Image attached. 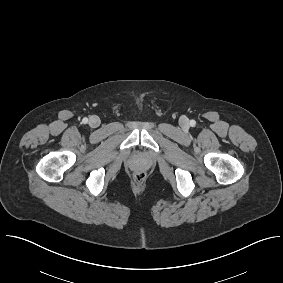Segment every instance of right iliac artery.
<instances>
[{"label":"right iliac artery","instance_id":"right-iliac-artery-1","mask_svg":"<svg viewBox=\"0 0 283 283\" xmlns=\"http://www.w3.org/2000/svg\"><path fill=\"white\" fill-rule=\"evenodd\" d=\"M82 122H83L84 124H86V123L88 122V119H87V118H83Z\"/></svg>","mask_w":283,"mask_h":283}]
</instances>
